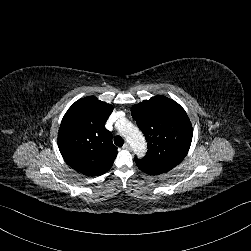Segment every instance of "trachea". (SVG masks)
I'll return each instance as SVG.
<instances>
[{
  "label": "trachea",
  "mask_w": 251,
  "mask_h": 251,
  "mask_svg": "<svg viewBox=\"0 0 251 251\" xmlns=\"http://www.w3.org/2000/svg\"><path fill=\"white\" fill-rule=\"evenodd\" d=\"M114 143H115V145H117L119 147L123 146V144H124L123 138L121 136H116L114 138Z\"/></svg>",
  "instance_id": "trachea-1"
}]
</instances>
